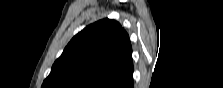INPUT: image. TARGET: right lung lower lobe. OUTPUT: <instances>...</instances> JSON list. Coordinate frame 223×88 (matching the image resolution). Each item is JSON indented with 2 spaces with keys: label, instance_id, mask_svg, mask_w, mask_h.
I'll return each mask as SVG.
<instances>
[{
  "label": "right lung lower lobe",
  "instance_id": "right-lung-lower-lobe-1",
  "mask_svg": "<svg viewBox=\"0 0 223 88\" xmlns=\"http://www.w3.org/2000/svg\"><path fill=\"white\" fill-rule=\"evenodd\" d=\"M131 87L133 88V81L131 80Z\"/></svg>",
  "mask_w": 223,
  "mask_h": 88
}]
</instances>
